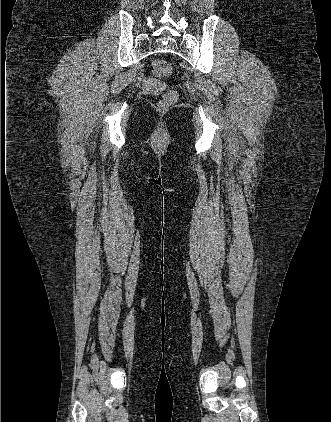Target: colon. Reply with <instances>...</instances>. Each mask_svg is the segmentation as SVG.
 <instances>
[{
	"mask_svg": "<svg viewBox=\"0 0 331 422\" xmlns=\"http://www.w3.org/2000/svg\"><path fill=\"white\" fill-rule=\"evenodd\" d=\"M152 72L158 77L168 76L171 72L170 64L165 60H156L152 64ZM177 100V94L174 91L164 93L159 101V107L167 108Z\"/></svg>",
	"mask_w": 331,
	"mask_h": 422,
	"instance_id": "colon-1",
	"label": "colon"
}]
</instances>
